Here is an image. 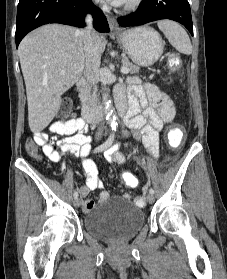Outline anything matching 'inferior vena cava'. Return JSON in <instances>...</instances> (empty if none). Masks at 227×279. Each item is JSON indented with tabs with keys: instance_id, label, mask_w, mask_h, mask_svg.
Returning <instances> with one entry per match:
<instances>
[{
	"instance_id": "inferior-vena-cava-1",
	"label": "inferior vena cava",
	"mask_w": 227,
	"mask_h": 279,
	"mask_svg": "<svg viewBox=\"0 0 227 279\" xmlns=\"http://www.w3.org/2000/svg\"><path fill=\"white\" fill-rule=\"evenodd\" d=\"M85 35V67L84 77L90 84L97 83L98 70L100 67L101 54L96 41L95 32L92 29V17L87 15L86 27L83 30ZM102 132L99 128L98 135Z\"/></svg>"
}]
</instances>
